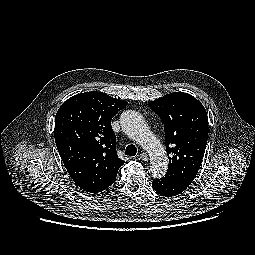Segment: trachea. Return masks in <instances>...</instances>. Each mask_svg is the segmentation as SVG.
Wrapping results in <instances>:
<instances>
[{"label":"trachea","instance_id":"3493384b","mask_svg":"<svg viewBox=\"0 0 255 255\" xmlns=\"http://www.w3.org/2000/svg\"><path fill=\"white\" fill-rule=\"evenodd\" d=\"M137 153V148L134 145H128L126 150H125V154L129 155V156H135Z\"/></svg>","mask_w":255,"mask_h":255}]
</instances>
